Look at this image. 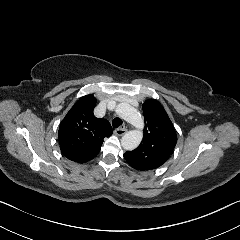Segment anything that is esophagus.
<instances>
[{"instance_id":"obj_1","label":"esophagus","mask_w":240,"mask_h":240,"mask_svg":"<svg viewBox=\"0 0 240 240\" xmlns=\"http://www.w3.org/2000/svg\"><path fill=\"white\" fill-rule=\"evenodd\" d=\"M125 133H127V129H125V128H117L114 130V134L117 136H122Z\"/></svg>"}]
</instances>
